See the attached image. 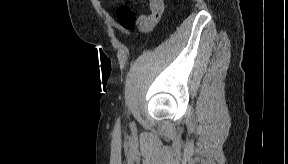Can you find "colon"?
<instances>
[{"label":"colon","mask_w":288,"mask_h":164,"mask_svg":"<svg viewBox=\"0 0 288 164\" xmlns=\"http://www.w3.org/2000/svg\"><path fill=\"white\" fill-rule=\"evenodd\" d=\"M155 1V0H154ZM161 10L156 7H151V16L154 18L160 17ZM117 19L121 26L126 30H133L137 27V18L135 14L128 8H121L117 13ZM143 28L148 29L149 26H144Z\"/></svg>","instance_id":"1"}]
</instances>
